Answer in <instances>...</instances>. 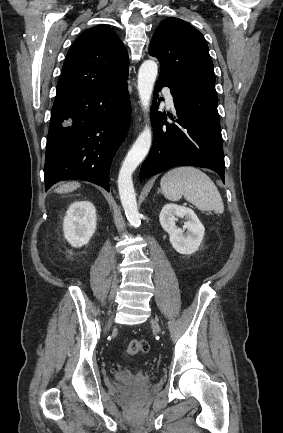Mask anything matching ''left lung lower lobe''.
<instances>
[{
	"mask_svg": "<svg viewBox=\"0 0 283 433\" xmlns=\"http://www.w3.org/2000/svg\"><path fill=\"white\" fill-rule=\"evenodd\" d=\"M169 87L176 111L168 114L174 123L166 122V114L158 111V94ZM183 88L159 76L155 85L152 109L154 141L149 156L142 164L140 181L166 169L190 165L213 169L224 181L223 139L220 122L202 116L182 105Z\"/></svg>",
	"mask_w": 283,
	"mask_h": 433,
	"instance_id": "0a47b994",
	"label": "left lung lower lobe"
}]
</instances>
